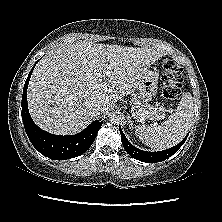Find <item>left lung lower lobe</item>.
<instances>
[{"instance_id":"0a47b994","label":"left lung lower lobe","mask_w":222,"mask_h":222,"mask_svg":"<svg viewBox=\"0 0 222 222\" xmlns=\"http://www.w3.org/2000/svg\"><path fill=\"white\" fill-rule=\"evenodd\" d=\"M119 130L121 133V140L122 144L124 146V149L126 152L133 157L134 159H137L142 162H147V163H154V162H161L172 156L174 153H176L179 148L184 144L185 140L187 139V136L176 146L164 150V151H158V152H148V151H143L140 150L136 147H134L126 138L124 133L121 130V127L119 126Z\"/></svg>"}]
</instances>
